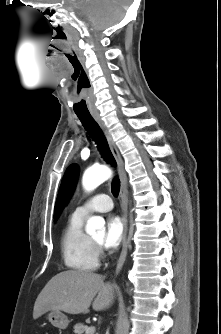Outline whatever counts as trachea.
I'll use <instances>...</instances> for the list:
<instances>
[{
  "mask_svg": "<svg viewBox=\"0 0 221 334\" xmlns=\"http://www.w3.org/2000/svg\"><path fill=\"white\" fill-rule=\"evenodd\" d=\"M81 121L83 127L87 130L92 139L96 142L99 151L102 154V157L111 165L115 166L116 161L109 149L108 142L98 125V123L93 119L91 115H77ZM111 191L114 196H118L120 191V182L115 178L111 185Z\"/></svg>",
  "mask_w": 221,
  "mask_h": 334,
  "instance_id": "3493384b",
  "label": "trachea"
}]
</instances>
